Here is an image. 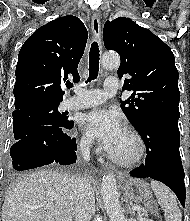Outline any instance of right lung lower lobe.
<instances>
[{
	"instance_id": "obj_1",
	"label": "right lung lower lobe",
	"mask_w": 190,
	"mask_h": 221,
	"mask_svg": "<svg viewBox=\"0 0 190 221\" xmlns=\"http://www.w3.org/2000/svg\"><path fill=\"white\" fill-rule=\"evenodd\" d=\"M73 125L74 122L65 126L42 125L18 140L10 149L13 168L20 171L52 163H75L77 145L66 134Z\"/></svg>"
}]
</instances>
